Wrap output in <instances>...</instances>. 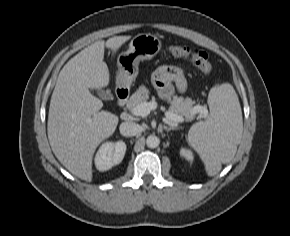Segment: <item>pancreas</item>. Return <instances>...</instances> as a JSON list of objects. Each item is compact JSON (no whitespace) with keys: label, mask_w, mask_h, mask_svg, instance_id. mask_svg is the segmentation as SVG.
Returning <instances> with one entry per match:
<instances>
[{"label":"pancreas","mask_w":290,"mask_h":236,"mask_svg":"<svg viewBox=\"0 0 290 236\" xmlns=\"http://www.w3.org/2000/svg\"><path fill=\"white\" fill-rule=\"evenodd\" d=\"M149 90L145 86H140L138 90L130 97L127 102V108L133 112V109L141 103L147 102L149 98ZM195 101L191 98H183L175 96L171 102L169 111L175 115L182 116L186 121H191L198 113L194 108Z\"/></svg>","instance_id":"pancreas-1"}]
</instances>
